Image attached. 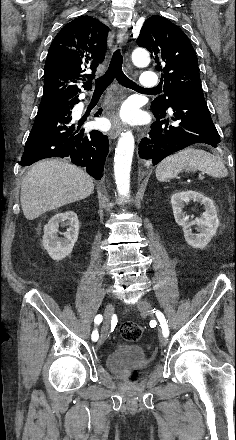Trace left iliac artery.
<instances>
[{
    "instance_id": "1",
    "label": "left iliac artery",
    "mask_w": 236,
    "mask_h": 440,
    "mask_svg": "<svg viewBox=\"0 0 236 440\" xmlns=\"http://www.w3.org/2000/svg\"><path fill=\"white\" fill-rule=\"evenodd\" d=\"M153 312L156 313V316H157V318H158V320L160 322V326L162 328L163 335L165 337H168L169 336V328H168V324H167V321L165 319V316L159 310H156V311L153 310Z\"/></svg>"
}]
</instances>
